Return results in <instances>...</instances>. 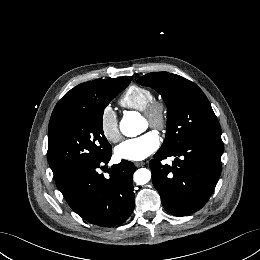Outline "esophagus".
Returning a JSON list of instances; mask_svg holds the SVG:
<instances>
[{
	"mask_svg": "<svg viewBox=\"0 0 260 260\" xmlns=\"http://www.w3.org/2000/svg\"><path fill=\"white\" fill-rule=\"evenodd\" d=\"M134 164H135L136 167H142V166L145 165L144 162H135Z\"/></svg>",
	"mask_w": 260,
	"mask_h": 260,
	"instance_id": "34e87169",
	"label": "esophagus"
}]
</instances>
